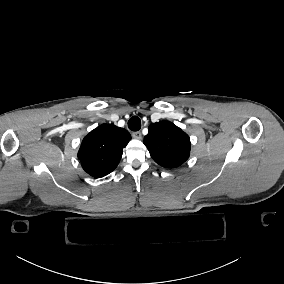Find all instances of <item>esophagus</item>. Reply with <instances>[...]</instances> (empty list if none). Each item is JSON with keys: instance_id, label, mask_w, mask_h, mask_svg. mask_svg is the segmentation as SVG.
Here are the masks:
<instances>
[{"instance_id": "34e87169", "label": "esophagus", "mask_w": 284, "mask_h": 284, "mask_svg": "<svg viewBox=\"0 0 284 284\" xmlns=\"http://www.w3.org/2000/svg\"><path fill=\"white\" fill-rule=\"evenodd\" d=\"M132 137H133L134 139L140 140V139L142 138V134H141L140 132H133V133H132Z\"/></svg>"}]
</instances>
